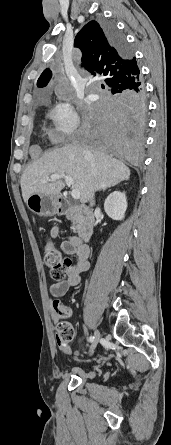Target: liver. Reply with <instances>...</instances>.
Wrapping results in <instances>:
<instances>
[{
  "instance_id": "obj_1",
  "label": "liver",
  "mask_w": 171,
  "mask_h": 445,
  "mask_svg": "<svg viewBox=\"0 0 171 445\" xmlns=\"http://www.w3.org/2000/svg\"><path fill=\"white\" fill-rule=\"evenodd\" d=\"M86 151L95 159V175ZM54 174L72 177L73 188L79 190L80 201L84 204L93 198L95 191L128 180L130 169L116 158L104 157L100 150H89L84 144L66 145L44 154L25 169L20 182L24 202L34 193L57 196L65 183L61 179L44 182Z\"/></svg>"
}]
</instances>
